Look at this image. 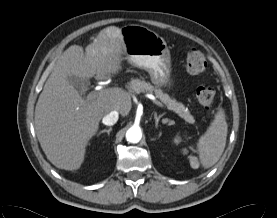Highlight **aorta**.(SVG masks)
<instances>
[{"instance_id":"762f6f07","label":"aorta","mask_w":277,"mask_h":218,"mask_svg":"<svg viewBox=\"0 0 277 218\" xmlns=\"http://www.w3.org/2000/svg\"><path fill=\"white\" fill-rule=\"evenodd\" d=\"M142 138V131L139 126H132L126 132V139L130 143H138Z\"/></svg>"}]
</instances>
